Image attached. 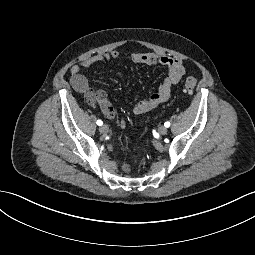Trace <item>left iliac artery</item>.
<instances>
[{
  "mask_svg": "<svg viewBox=\"0 0 255 255\" xmlns=\"http://www.w3.org/2000/svg\"><path fill=\"white\" fill-rule=\"evenodd\" d=\"M164 126L168 128V127L170 126V122H168V121L165 122V123H164Z\"/></svg>",
  "mask_w": 255,
  "mask_h": 255,
  "instance_id": "44dca946",
  "label": "left iliac artery"
}]
</instances>
